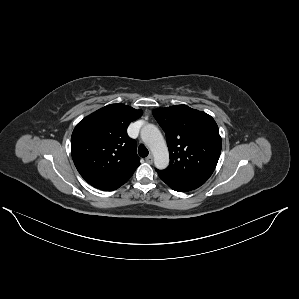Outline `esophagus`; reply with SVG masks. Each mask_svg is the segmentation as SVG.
Returning a JSON list of instances; mask_svg holds the SVG:
<instances>
[{
  "instance_id": "34e87169",
  "label": "esophagus",
  "mask_w": 299,
  "mask_h": 299,
  "mask_svg": "<svg viewBox=\"0 0 299 299\" xmlns=\"http://www.w3.org/2000/svg\"><path fill=\"white\" fill-rule=\"evenodd\" d=\"M145 160L147 163L151 164L153 162V157L151 155H149L145 158Z\"/></svg>"
}]
</instances>
